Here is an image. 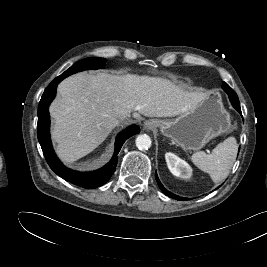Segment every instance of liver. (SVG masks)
<instances>
[{"mask_svg": "<svg viewBox=\"0 0 267 267\" xmlns=\"http://www.w3.org/2000/svg\"><path fill=\"white\" fill-rule=\"evenodd\" d=\"M206 94L190 92L161 77L79 73L58 85L50 105L58 156L74 162L97 148L122 114L171 117L193 110Z\"/></svg>", "mask_w": 267, "mask_h": 267, "instance_id": "obj_1", "label": "liver"}]
</instances>
